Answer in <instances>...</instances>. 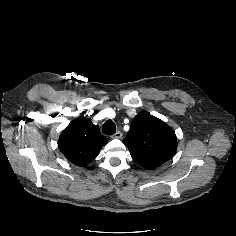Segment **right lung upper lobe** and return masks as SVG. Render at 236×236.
Here are the masks:
<instances>
[{
  "mask_svg": "<svg viewBox=\"0 0 236 236\" xmlns=\"http://www.w3.org/2000/svg\"><path fill=\"white\" fill-rule=\"evenodd\" d=\"M107 138L99 127L89 119L79 117L73 120L59 137L62 154L77 166H85L96 158Z\"/></svg>",
  "mask_w": 236,
  "mask_h": 236,
  "instance_id": "right-lung-upper-lobe-1",
  "label": "right lung upper lobe"
}]
</instances>
